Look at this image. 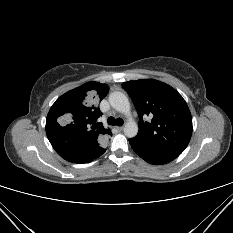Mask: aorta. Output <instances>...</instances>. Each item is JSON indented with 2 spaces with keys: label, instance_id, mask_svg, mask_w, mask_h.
I'll return each instance as SVG.
<instances>
[{
  "label": "aorta",
  "instance_id": "aorta-1",
  "mask_svg": "<svg viewBox=\"0 0 233 233\" xmlns=\"http://www.w3.org/2000/svg\"><path fill=\"white\" fill-rule=\"evenodd\" d=\"M109 103L116 111L128 117V121L124 126V134L128 138L135 137L138 133V125L131 117V107L127 96L122 92H112L109 95Z\"/></svg>",
  "mask_w": 233,
  "mask_h": 233
}]
</instances>
